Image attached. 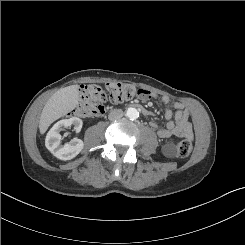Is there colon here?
Masks as SVG:
<instances>
[{
	"instance_id": "5ec220e1",
	"label": "colon",
	"mask_w": 245,
	"mask_h": 245,
	"mask_svg": "<svg viewBox=\"0 0 245 245\" xmlns=\"http://www.w3.org/2000/svg\"><path fill=\"white\" fill-rule=\"evenodd\" d=\"M142 94H146V90L121 82H108L104 86L84 85L81 88V99L74 114L81 117L99 116L105 112L106 102L118 104ZM191 151L192 144L189 140H183L176 146V154L180 158L189 156Z\"/></svg>"
}]
</instances>
